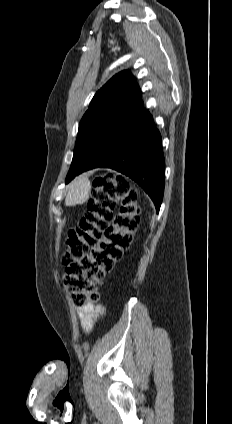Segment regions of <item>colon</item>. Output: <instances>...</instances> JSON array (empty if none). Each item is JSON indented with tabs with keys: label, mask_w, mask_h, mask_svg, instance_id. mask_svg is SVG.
I'll return each mask as SVG.
<instances>
[{
	"label": "colon",
	"mask_w": 232,
	"mask_h": 424,
	"mask_svg": "<svg viewBox=\"0 0 232 424\" xmlns=\"http://www.w3.org/2000/svg\"><path fill=\"white\" fill-rule=\"evenodd\" d=\"M116 202L120 206L114 215ZM140 214L138 194L125 180L109 174L93 179L87 210L69 233L62 258L63 284L76 307L98 300V286L131 245Z\"/></svg>",
	"instance_id": "colon-1"
}]
</instances>
